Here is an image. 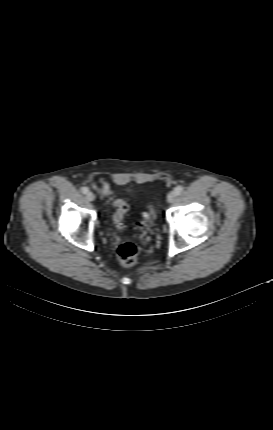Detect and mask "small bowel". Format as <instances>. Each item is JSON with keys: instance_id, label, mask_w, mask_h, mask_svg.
<instances>
[{"instance_id": "obj_1", "label": "small bowel", "mask_w": 273, "mask_h": 430, "mask_svg": "<svg viewBox=\"0 0 273 430\" xmlns=\"http://www.w3.org/2000/svg\"><path fill=\"white\" fill-rule=\"evenodd\" d=\"M100 193L104 197H107L112 194V190L108 182L104 181L102 183Z\"/></svg>"}]
</instances>
